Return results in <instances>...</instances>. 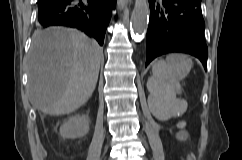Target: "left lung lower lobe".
Listing matches in <instances>:
<instances>
[{"mask_svg":"<svg viewBox=\"0 0 242 160\" xmlns=\"http://www.w3.org/2000/svg\"><path fill=\"white\" fill-rule=\"evenodd\" d=\"M146 66L157 56L183 52L197 57L207 67L201 0H149Z\"/></svg>","mask_w":242,"mask_h":160,"instance_id":"0a47b994","label":"left lung lower lobe"}]
</instances>
